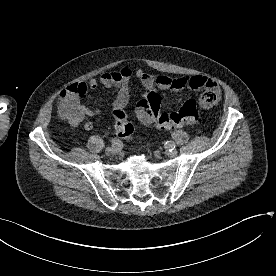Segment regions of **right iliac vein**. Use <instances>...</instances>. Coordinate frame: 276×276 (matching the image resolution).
<instances>
[{
	"instance_id": "obj_1",
	"label": "right iliac vein",
	"mask_w": 276,
	"mask_h": 276,
	"mask_svg": "<svg viewBox=\"0 0 276 276\" xmlns=\"http://www.w3.org/2000/svg\"><path fill=\"white\" fill-rule=\"evenodd\" d=\"M119 150H120V147H118V146L107 147L106 148V153L108 155H112V154L117 153Z\"/></svg>"
}]
</instances>
